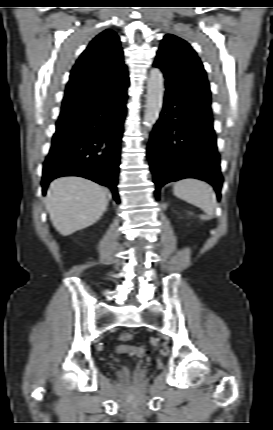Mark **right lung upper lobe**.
Returning a JSON list of instances; mask_svg holds the SVG:
<instances>
[{"label": "right lung upper lobe", "instance_id": "1", "mask_svg": "<svg viewBox=\"0 0 273 430\" xmlns=\"http://www.w3.org/2000/svg\"><path fill=\"white\" fill-rule=\"evenodd\" d=\"M129 84L119 37L112 30L96 36L73 67L61 114L77 115L106 85Z\"/></svg>", "mask_w": 273, "mask_h": 430}]
</instances>
